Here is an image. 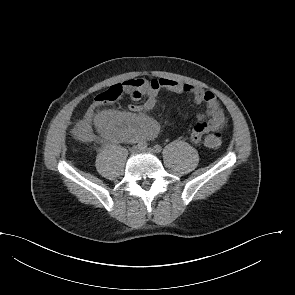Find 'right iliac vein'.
Here are the masks:
<instances>
[{
    "instance_id": "right-iliac-vein-1",
    "label": "right iliac vein",
    "mask_w": 295,
    "mask_h": 295,
    "mask_svg": "<svg viewBox=\"0 0 295 295\" xmlns=\"http://www.w3.org/2000/svg\"><path fill=\"white\" fill-rule=\"evenodd\" d=\"M139 151V147L138 146H132L131 148H130V152L131 153H136V152H138Z\"/></svg>"
}]
</instances>
